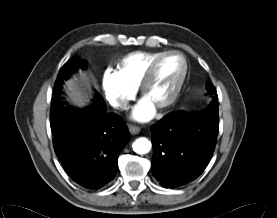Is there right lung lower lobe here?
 Wrapping results in <instances>:
<instances>
[{
	"mask_svg": "<svg viewBox=\"0 0 277 218\" xmlns=\"http://www.w3.org/2000/svg\"><path fill=\"white\" fill-rule=\"evenodd\" d=\"M64 79L55 82L52 101H62ZM100 97L84 110H74L70 124L54 135L55 153L64 169L79 185L98 189L108 184L118 170V156L130 135L121 118L106 113Z\"/></svg>",
	"mask_w": 277,
	"mask_h": 218,
	"instance_id": "right-lung-lower-lobe-1",
	"label": "right lung lower lobe"
}]
</instances>
